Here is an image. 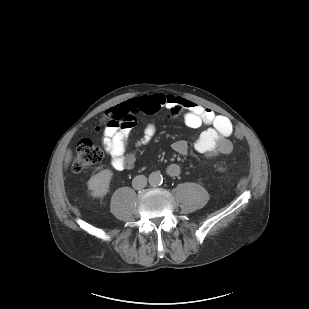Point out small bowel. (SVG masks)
<instances>
[{
  "label": "small bowel",
  "instance_id": "1",
  "mask_svg": "<svg viewBox=\"0 0 309 309\" xmlns=\"http://www.w3.org/2000/svg\"><path fill=\"white\" fill-rule=\"evenodd\" d=\"M162 108L170 111L171 116L180 111H184V119L187 126L197 128L201 125H207L206 129L195 142L196 151L211 157L216 154H230L233 146L229 140L233 133V125L230 120L223 116L215 114L211 109L196 104L193 101L170 94H152L145 95L128 100L126 103L114 107V113L118 117L123 113L155 114ZM132 127L110 124L105 128L103 144L110 156L111 165L116 171L130 169L135 165V157L127 154L128 137ZM156 134V127L148 124L137 145L147 144ZM174 150L180 155H187L189 147L186 140L180 139L174 142ZM182 167L178 163L170 164L167 168V174L176 177L181 173Z\"/></svg>",
  "mask_w": 309,
  "mask_h": 309
}]
</instances>
